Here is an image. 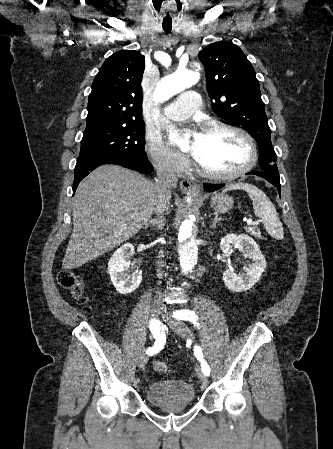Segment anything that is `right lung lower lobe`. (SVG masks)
Returning a JSON list of instances; mask_svg holds the SVG:
<instances>
[{
	"label": "right lung lower lobe",
	"mask_w": 333,
	"mask_h": 449,
	"mask_svg": "<svg viewBox=\"0 0 333 449\" xmlns=\"http://www.w3.org/2000/svg\"><path fill=\"white\" fill-rule=\"evenodd\" d=\"M104 164L120 165L140 173H151L153 166L148 159H124L118 156H92L79 157L75 170V179L73 183V195L79 182L86 177L96 167Z\"/></svg>",
	"instance_id": "right-lung-lower-lobe-1"
}]
</instances>
